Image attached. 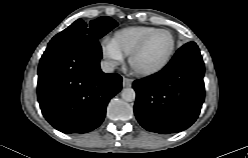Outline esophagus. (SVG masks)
<instances>
[{"label": "esophagus", "mask_w": 248, "mask_h": 158, "mask_svg": "<svg viewBox=\"0 0 248 158\" xmlns=\"http://www.w3.org/2000/svg\"><path fill=\"white\" fill-rule=\"evenodd\" d=\"M133 80L127 77H123L122 85L123 87H130L132 85Z\"/></svg>", "instance_id": "1"}]
</instances>
